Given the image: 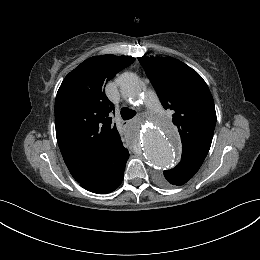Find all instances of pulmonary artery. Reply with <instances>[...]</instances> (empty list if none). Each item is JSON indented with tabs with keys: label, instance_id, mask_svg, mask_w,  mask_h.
Returning a JSON list of instances; mask_svg holds the SVG:
<instances>
[{
	"label": "pulmonary artery",
	"instance_id": "1",
	"mask_svg": "<svg viewBox=\"0 0 260 260\" xmlns=\"http://www.w3.org/2000/svg\"><path fill=\"white\" fill-rule=\"evenodd\" d=\"M146 104L152 110H157L160 107L159 100L151 91L146 94Z\"/></svg>",
	"mask_w": 260,
	"mask_h": 260
}]
</instances>
